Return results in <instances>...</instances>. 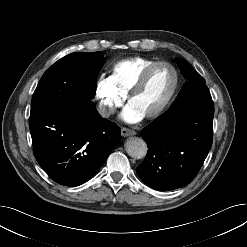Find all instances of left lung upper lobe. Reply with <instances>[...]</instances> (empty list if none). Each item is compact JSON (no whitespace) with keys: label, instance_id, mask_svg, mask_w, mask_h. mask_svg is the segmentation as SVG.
<instances>
[{"label":"left lung upper lobe","instance_id":"left-lung-upper-lobe-1","mask_svg":"<svg viewBox=\"0 0 247 247\" xmlns=\"http://www.w3.org/2000/svg\"><path fill=\"white\" fill-rule=\"evenodd\" d=\"M177 64L182 75L188 80L182 87L171 107L183 102L197 90L205 86V80L198 74L196 70L185 60L176 58Z\"/></svg>","mask_w":247,"mask_h":247}]
</instances>
